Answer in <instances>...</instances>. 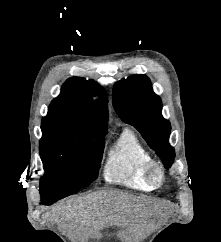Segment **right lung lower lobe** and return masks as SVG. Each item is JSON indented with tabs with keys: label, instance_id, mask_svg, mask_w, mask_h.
<instances>
[{
	"label": "right lung lower lobe",
	"instance_id": "1",
	"mask_svg": "<svg viewBox=\"0 0 221 242\" xmlns=\"http://www.w3.org/2000/svg\"><path fill=\"white\" fill-rule=\"evenodd\" d=\"M79 190H63V189H55L51 187L41 188V201L45 205H51L59 199L72 195Z\"/></svg>",
	"mask_w": 221,
	"mask_h": 242
}]
</instances>
